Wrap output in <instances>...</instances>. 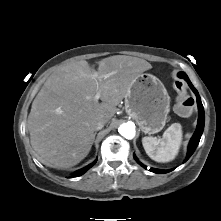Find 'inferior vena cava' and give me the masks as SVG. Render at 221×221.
I'll use <instances>...</instances> for the list:
<instances>
[{
  "instance_id": "inferior-vena-cava-1",
  "label": "inferior vena cava",
  "mask_w": 221,
  "mask_h": 221,
  "mask_svg": "<svg viewBox=\"0 0 221 221\" xmlns=\"http://www.w3.org/2000/svg\"><path fill=\"white\" fill-rule=\"evenodd\" d=\"M103 126H104V122L102 120H94L91 123V127L94 131H98V130L102 129Z\"/></svg>"
}]
</instances>
